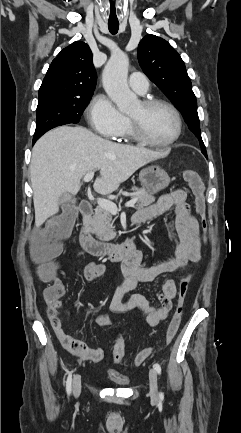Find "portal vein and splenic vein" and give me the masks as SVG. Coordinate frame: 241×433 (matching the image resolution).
<instances>
[{
    "label": "portal vein and splenic vein",
    "mask_w": 241,
    "mask_h": 433,
    "mask_svg": "<svg viewBox=\"0 0 241 433\" xmlns=\"http://www.w3.org/2000/svg\"><path fill=\"white\" fill-rule=\"evenodd\" d=\"M93 177H94V171L91 170L84 176L83 181L89 182L92 180ZM137 201H138V198H133L132 200L128 201L125 204V206L126 207H134V205L137 203ZM97 203L100 207L109 211L111 214H117L118 213L117 205L110 200H107L104 198H98Z\"/></svg>",
    "instance_id": "obj_1"
}]
</instances>
